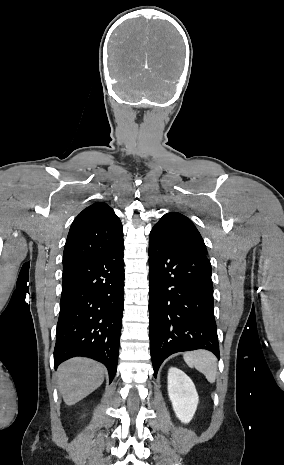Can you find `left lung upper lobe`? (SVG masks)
<instances>
[{"label": "left lung upper lobe", "instance_id": "1", "mask_svg": "<svg viewBox=\"0 0 284 465\" xmlns=\"http://www.w3.org/2000/svg\"><path fill=\"white\" fill-rule=\"evenodd\" d=\"M151 233L159 235L179 247L207 255L204 241L193 222L178 212L163 215Z\"/></svg>", "mask_w": 284, "mask_h": 465}]
</instances>
